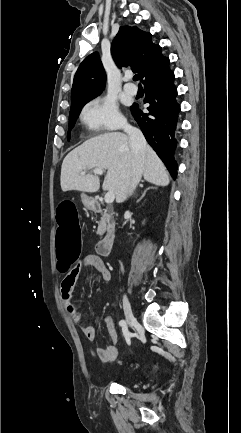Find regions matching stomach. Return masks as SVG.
Segmentation results:
<instances>
[{
  "label": "stomach",
  "instance_id": "0dacf381",
  "mask_svg": "<svg viewBox=\"0 0 241 433\" xmlns=\"http://www.w3.org/2000/svg\"><path fill=\"white\" fill-rule=\"evenodd\" d=\"M81 200H82V203L85 206V208H87V209H91L92 208L93 201H92V199L90 197H88L85 194H82L81 195Z\"/></svg>",
  "mask_w": 241,
  "mask_h": 433
}]
</instances>
